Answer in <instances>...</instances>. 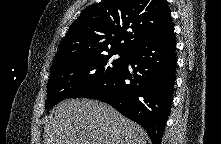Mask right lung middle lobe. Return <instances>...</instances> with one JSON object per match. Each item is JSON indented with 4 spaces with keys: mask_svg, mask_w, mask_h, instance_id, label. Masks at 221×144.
<instances>
[{
    "mask_svg": "<svg viewBox=\"0 0 221 144\" xmlns=\"http://www.w3.org/2000/svg\"><path fill=\"white\" fill-rule=\"evenodd\" d=\"M119 54L120 58L111 60ZM126 53L108 52L51 69L45 106L52 108L67 98L80 97L113 77L123 66Z\"/></svg>",
    "mask_w": 221,
    "mask_h": 144,
    "instance_id": "right-lung-middle-lobe-1",
    "label": "right lung middle lobe"
}]
</instances>
